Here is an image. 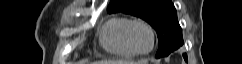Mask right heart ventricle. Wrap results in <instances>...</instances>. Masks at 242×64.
Wrapping results in <instances>:
<instances>
[{
  "label": "right heart ventricle",
  "mask_w": 242,
  "mask_h": 64,
  "mask_svg": "<svg viewBox=\"0 0 242 64\" xmlns=\"http://www.w3.org/2000/svg\"><path fill=\"white\" fill-rule=\"evenodd\" d=\"M131 21L132 19L121 16L105 24L101 32V44L107 52L123 58H133L137 55L126 40V30Z\"/></svg>",
  "instance_id": "1"
}]
</instances>
